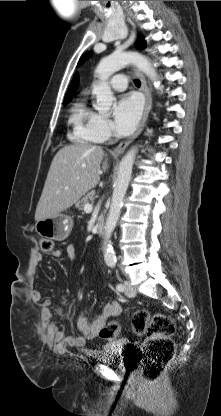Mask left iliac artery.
Here are the masks:
<instances>
[{
    "label": "left iliac artery",
    "instance_id": "44dca946",
    "mask_svg": "<svg viewBox=\"0 0 221 416\" xmlns=\"http://www.w3.org/2000/svg\"><path fill=\"white\" fill-rule=\"evenodd\" d=\"M111 267H114V265H110ZM124 288H125V286L122 284V283H119L117 286H116V289L118 290V291H120V292H122V291H124Z\"/></svg>",
    "mask_w": 221,
    "mask_h": 416
}]
</instances>
